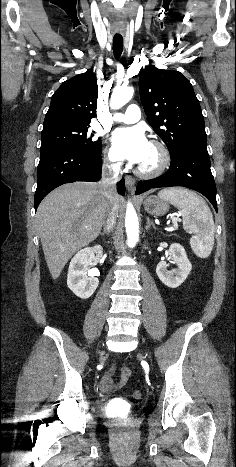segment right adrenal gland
I'll return each instance as SVG.
<instances>
[{"mask_svg": "<svg viewBox=\"0 0 236 467\" xmlns=\"http://www.w3.org/2000/svg\"><path fill=\"white\" fill-rule=\"evenodd\" d=\"M100 235L103 236V237L105 236L104 233H100Z\"/></svg>", "mask_w": 236, "mask_h": 467, "instance_id": "obj_1", "label": "right adrenal gland"}]
</instances>
